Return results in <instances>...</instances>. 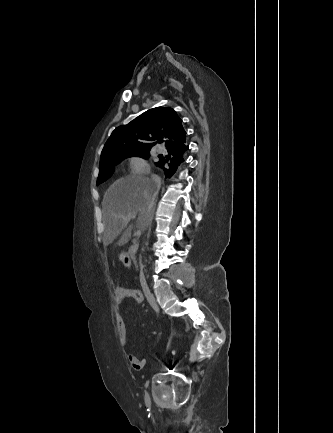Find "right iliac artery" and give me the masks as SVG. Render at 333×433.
<instances>
[{
  "mask_svg": "<svg viewBox=\"0 0 333 433\" xmlns=\"http://www.w3.org/2000/svg\"><path fill=\"white\" fill-rule=\"evenodd\" d=\"M173 354H174V352H173ZM148 384H149V381L146 382L145 387H147ZM145 404L148 407L151 405V399H150V396L147 392L145 393Z\"/></svg>",
  "mask_w": 333,
  "mask_h": 433,
  "instance_id": "obj_1",
  "label": "right iliac artery"
}]
</instances>
